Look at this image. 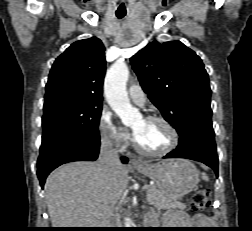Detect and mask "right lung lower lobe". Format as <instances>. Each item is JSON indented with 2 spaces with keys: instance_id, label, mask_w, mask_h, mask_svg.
Masks as SVG:
<instances>
[{
  "instance_id": "obj_1",
  "label": "right lung lower lobe",
  "mask_w": 252,
  "mask_h": 231,
  "mask_svg": "<svg viewBox=\"0 0 252 231\" xmlns=\"http://www.w3.org/2000/svg\"><path fill=\"white\" fill-rule=\"evenodd\" d=\"M100 139L64 134L42 142L37 161V175L43 188L48 174L56 167L72 161H94L98 157ZM122 162L128 159L122 157Z\"/></svg>"
}]
</instances>
